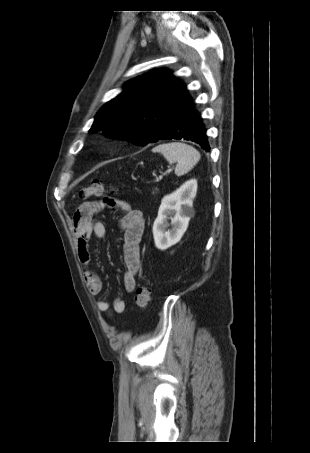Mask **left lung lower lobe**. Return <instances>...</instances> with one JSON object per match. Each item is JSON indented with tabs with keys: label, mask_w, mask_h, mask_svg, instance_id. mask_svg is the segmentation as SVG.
I'll use <instances>...</instances> for the list:
<instances>
[{
	"label": "left lung lower lobe",
	"mask_w": 310,
	"mask_h": 453,
	"mask_svg": "<svg viewBox=\"0 0 310 453\" xmlns=\"http://www.w3.org/2000/svg\"><path fill=\"white\" fill-rule=\"evenodd\" d=\"M167 139L190 140L205 151L210 150L205 125L187 90L182 95L166 131L160 137V140Z\"/></svg>",
	"instance_id": "left-lung-lower-lobe-1"
}]
</instances>
